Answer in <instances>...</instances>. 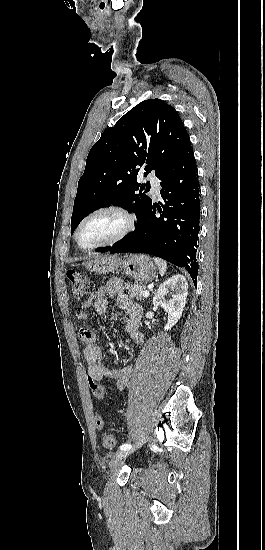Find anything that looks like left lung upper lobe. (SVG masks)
<instances>
[{
	"label": "left lung upper lobe",
	"instance_id": "1",
	"mask_svg": "<svg viewBox=\"0 0 265 550\" xmlns=\"http://www.w3.org/2000/svg\"><path fill=\"white\" fill-rule=\"evenodd\" d=\"M189 143L172 106L148 99L133 107L103 132L88 154L74 201L72 232L85 216L111 204L133 211L139 224L152 204L146 195L150 183H137L139 167H145V176L153 170L160 179Z\"/></svg>",
	"mask_w": 265,
	"mask_h": 550
}]
</instances>
